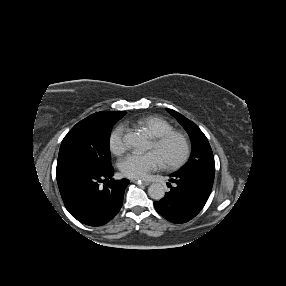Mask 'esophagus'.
<instances>
[{"instance_id":"esophagus-1","label":"esophagus","mask_w":286,"mask_h":286,"mask_svg":"<svg viewBox=\"0 0 286 286\" xmlns=\"http://www.w3.org/2000/svg\"><path fill=\"white\" fill-rule=\"evenodd\" d=\"M136 183L139 185H144V186H147L150 184V182L146 180H139V181H136Z\"/></svg>"}]
</instances>
